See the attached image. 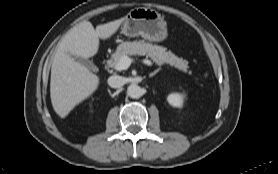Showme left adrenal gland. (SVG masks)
I'll return each mask as SVG.
<instances>
[{
	"mask_svg": "<svg viewBox=\"0 0 278 174\" xmlns=\"http://www.w3.org/2000/svg\"><path fill=\"white\" fill-rule=\"evenodd\" d=\"M160 70H161V69L158 68V69L155 70L154 72L150 73V74H149V77H152V76L156 75Z\"/></svg>",
	"mask_w": 278,
	"mask_h": 174,
	"instance_id": "left-adrenal-gland-1",
	"label": "left adrenal gland"
}]
</instances>
